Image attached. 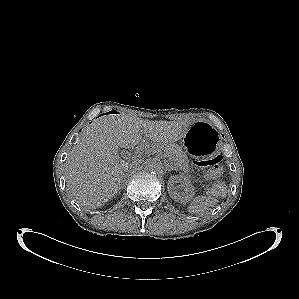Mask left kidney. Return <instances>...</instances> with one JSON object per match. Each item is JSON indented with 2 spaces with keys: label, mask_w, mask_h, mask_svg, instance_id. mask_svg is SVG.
<instances>
[{
  "label": "left kidney",
  "mask_w": 299,
  "mask_h": 299,
  "mask_svg": "<svg viewBox=\"0 0 299 299\" xmlns=\"http://www.w3.org/2000/svg\"><path fill=\"white\" fill-rule=\"evenodd\" d=\"M167 189L169 195L181 204H186L194 195V186L183 175L171 176ZM180 189L183 191H178Z\"/></svg>",
  "instance_id": "left-kidney-1"
}]
</instances>
